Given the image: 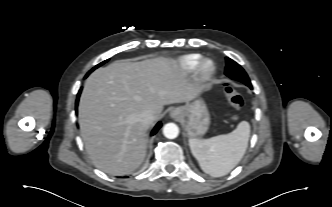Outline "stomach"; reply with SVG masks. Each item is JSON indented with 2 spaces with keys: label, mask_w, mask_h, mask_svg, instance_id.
Listing matches in <instances>:
<instances>
[{
  "label": "stomach",
  "mask_w": 332,
  "mask_h": 207,
  "mask_svg": "<svg viewBox=\"0 0 332 207\" xmlns=\"http://www.w3.org/2000/svg\"><path fill=\"white\" fill-rule=\"evenodd\" d=\"M178 109L182 111V121L189 138H198L206 133L210 124V116L202 99H196Z\"/></svg>",
  "instance_id": "1"
}]
</instances>
